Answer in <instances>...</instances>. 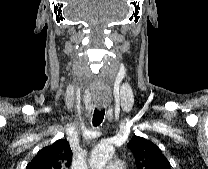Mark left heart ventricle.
<instances>
[{"instance_id": "left-heart-ventricle-1", "label": "left heart ventricle", "mask_w": 208, "mask_h": 169, "mask_svg": "<svg viewBox=\"0 0 208 169\" xmlns=\"http://www.w3.org/2000/svg\"><path fill=\"white\" fill-rule=\"evenodd\" d=\"M101 169H107L106 167H102Z\"/></svg>"}]
</instances>
